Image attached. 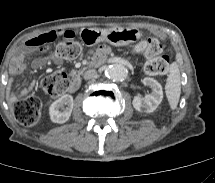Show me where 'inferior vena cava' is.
I'll list each match as a JSON object with an SVG mask.
<instances>
[{
	"mask_svg": "<svg viewBox=\"0 0 215 183\" xmlns=\"http://www.w3.org/2000/svg\"><path fill=\"white\" fill-rule=\"evenodd\" d=\"M83 77L85 80H91L97 78V72L94 69H89L84 72Z\"/></svg>",
	"mask_w": 215,
	"mask_h": 183,
	"instance_id": "obj_1",
	"label": "inferior vena cava"
}]
</instances>
